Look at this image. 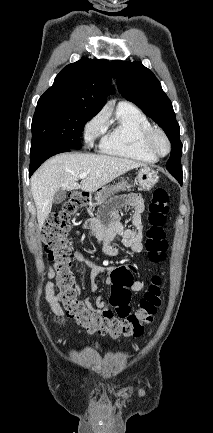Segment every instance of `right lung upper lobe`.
Returning <instances> with one entry per match:
<instances>
[{
    "instance_id": "1",
    "label": "right lung upper lobe",
    "mask_w": 213,
    "mask_h": 433,
    "mask_svg": "<svg viewBox=\"0 0 213 433\" xmlns=\"http://www.w3.org/2000/svg\"><path fill=\"white\" fill-rule=\"evenodd\" d=\"M110 81L107 60L83 57L63 68L38 102L79 106L97 114L111 94Z\"/></svg>"
}]
</instances>
